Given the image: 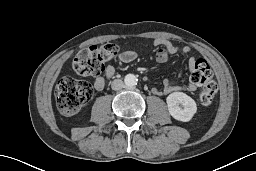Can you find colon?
Masks as SVG:
<instances>
[{"mask_svg":"<svg viewBox=\"0 0 256 171\" xmlns=\"http://www.w3.org/2000/svg\"><path fill=\"white\" fill-rule=\"evenodd\" d=\"M117 53L118 47L113 43L85 48L73 59L72 69L81 76H99L104 70V64ZM191 81L201 86L199 101L203 105L211 104L217 93V84L209 64L204 59L195 61ZM55 94L61 114L71 116L92 97L93 89L87 82L64 77L57 83Z\"/></svg>","mask_w":256,"mask_h":171,"instance_id":"5ec220e1","label":"colon"}]
</instances>
